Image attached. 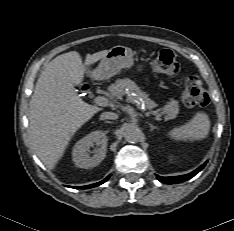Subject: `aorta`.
<instances>
[{
    "instance_id": "obj_1",
    "label": "aorta",
    "mask_w": 234,
    "mask_h": 231,
    "mask_svg": "<svg viewBox=\"0 0 234 231\" xmlns=\"http://www.w3.org/2000/svg\"><path fill=\"white\" fill-rule=\"evenodd\" d=\"M141 131L136 126H129L124 131V137L129 143H136L141 138Z\"/></svg>"
}]
</instances>
